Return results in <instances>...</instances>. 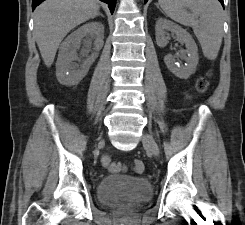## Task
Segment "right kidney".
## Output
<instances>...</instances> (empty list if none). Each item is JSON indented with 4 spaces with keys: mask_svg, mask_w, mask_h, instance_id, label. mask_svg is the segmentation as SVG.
Returning <instances> with one entry per match:
<instances>
[{
    "mask_svg": "<svg viewBox=\"0 0 245 225\" xmlns=\"http://www.w3.org/2000/svg\"><path fill=\"white\" fill-rule=\"evenodd\" d=\"M104 26L100 22L87 23L72 32L61 44L56 62V77L66 86L77 85L87 74L96 54L88 57L81 65L74 61L79 60L77 49L81 41H84L86 49L81 52L82 56L88 54V49L94 40V50L99 51L104 44Z\"/></svg>",
    "mask_w": 245,
    "mask_h": 225,
    "instance_id": "right-kidney-1",
    "label": "right kidney"
}]
</instances>
